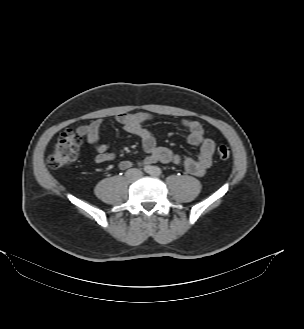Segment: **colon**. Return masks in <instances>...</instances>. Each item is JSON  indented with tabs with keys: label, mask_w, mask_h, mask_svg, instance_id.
Listing matches in <instances>:
<instances>
[{
	"label": "colon",
	"mask_w": 304,
	"mask_h": 329,
	"mask_svg": "<svg viewBox=\"0 0 304 329\" xmlns=\"http://www.w3.org/2000/svg\"><path fill=\"white\" fill-rule=\"evenodd\" d=\"M80 143L81 136L77 132L66 130L49 155L47 159L48 166L52 169H59L72 164L77 159ZM217 153L223 160L230 157V149L226 145L219 146Z\"/></svg>",
	"instance_id": "5ec220e1"
}]
</instances>
